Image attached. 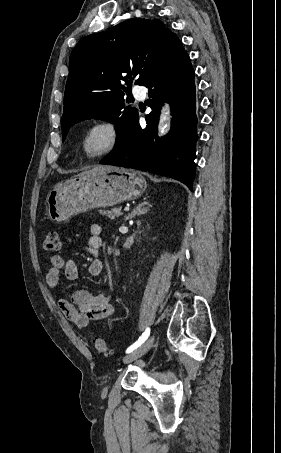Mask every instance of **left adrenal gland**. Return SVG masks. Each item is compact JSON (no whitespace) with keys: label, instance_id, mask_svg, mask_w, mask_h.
Listing matches in <instances>:
<instances>
[{"label":"left adrenal gland","instance_id":"left-adrenal-gland-1","mask_svg":"<svg viewBox=\"0 0 281 453\" xmlns=\"http://www.w3.org/2000/svg\"><path fill=\"white\" fill-rule=\"evenodd\" d=\"M145 204H148V206H145ZM150 206H152V204H149V202H145L144 200V202H140L138 206H135V208L131 210L130 214H128L126 218H133V216H136V214H145L147 210H150Z\"/></svg>","mask_w":281,"mask_h":453}]
</instances>
